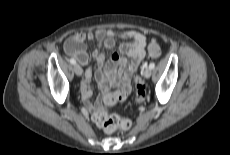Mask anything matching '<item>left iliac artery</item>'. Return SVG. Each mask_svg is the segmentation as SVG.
Instances as JSON below:
<instances>
[{"label": "left iliac artery", "instance_id": "1", "mask_svg": "<svg viewBox=\"0 0 230 155\" xmlns=\"http://www.w3.org/2000/svg\"><path fill=\"white\" fill-rule=\"evenodd\" d=\"M154 67H155V63H154V62H151V63L149 64V68H150V69H154Z\"/></svg>", "mask_w": 230, "mask_h": 155}]
</instances>
